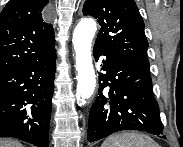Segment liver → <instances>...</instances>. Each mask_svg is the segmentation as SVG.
Returning <instances> with one entry per match:
<instances>
[{"label":"liver","mask_w":183,"mask_h":147,"mask_svg":"<svg viewBox=\"0 0 183 147\" xmlns=\"http://www.w3.org/2000/svg\"><path fill=\"white\" fill-rule=\"evenodd\" d=\"M0 147H22V144L16 140L2 139L0 140Z\"/></svg>","instance_id":"liver-1"}]
</instances>
